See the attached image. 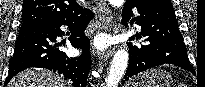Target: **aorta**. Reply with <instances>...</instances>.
<instances>
[{
    "instance_id": "762f6f07",
    "label": "aorta",
    "mask_w": 205,
    "mask_h": 87,
    "mask_svg": "<svg viewBox=\"0 0 205 87\" xmlns=\"http://www.w3.org/2000/svg\"><path fill=\"white\" fill-rule=\"evenodd\" d=\"M109 3L114 7H121L124 4V0H109ZM128 58L129 55L126 49L120 48L117 50L111 62L108 77L106 79V87L118 86L126 71Z\"/></svg>"
}]
</instances>
